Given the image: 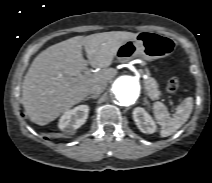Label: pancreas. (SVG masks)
Returning a JSON list of instances; mask_svg holds the SVG:
<instances>
[{
	"label": "pancreas",
	"instance_id": "cf45deb5",
	"mask_svg": "<svg viewBox=\"0 0 212 183\" xmlns=\"http://www.w3.org/2000/svg\"><path fill=\"white\" fill-rule=\"evenodd\" d=\"M148 74V71H147ZM145 90L148 94V96L152 100L159 99L161 92L158 89V84L156 80L153 77H148L147 79L143 80Z\"/></svg>",
	"mask_w": 212,
	"mask_h": 183
}]
</instances>
